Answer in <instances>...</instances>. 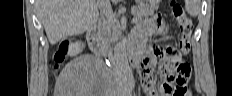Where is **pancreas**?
I'll return each instance as SVG.
<instances>
[{
  "instance_id": "pancreas-1",
  "label": "pancreas",
  "mask_w": 232,
  "mask_h": 96,
  "mask_svg": "<svg viewBox=\"0 0 232 96\" xmlns=\"http://www.w3.org/2000/svg\"><path fill=\"white\" fill-rule=\"evenodd\" d=\"M158 9V5H139L132 7L131 13L139 20L142 17L153 15L154 11ZM120 36L119 27L116 24V19L107 17L103 22V36L100 38L101 45L108 47L110 43H114Z\"/></svg>"
}]
</instances>
